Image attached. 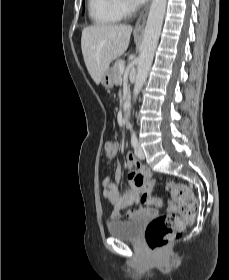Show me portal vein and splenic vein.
<instances>
[{
  "label": "portal vein and splenic vein",
  "instance_id": "portal-vein-and-splenic-vein-1",
  "mask_svg": "<svg viewBox=\"0 0 229 280\" xmlns=\"http://www.w3.org/2000/svg\"><path fill=\"white\" fill-rule=\"evenodd\" d=\"M124 70H125V66H124V64H122V65L120 66V72L123 73Z\"/></svg>",
  "mask_w": 229,
  "mask_h": 280
}]
</instances>
